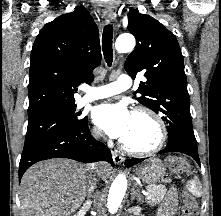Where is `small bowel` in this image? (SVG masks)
Masks as SVG:
<instances>
[{
    "label": "small bowel",
    "instance_id": "c3829d8e",
    "mask_svg": "<svg viewBox=\"0 0 221 216\" xmlns=\"http://www.w3.org/2000/svg\"><path fill=\"white\" fill-rule=\"evenodd\" d=\"M177 205V195L174 190H170L168 197L166 199V206L170 210V212H173L176 209Z\"/></svg>",
    "mask_w": 221,
    "mask_h": 216
}]
</instances>
